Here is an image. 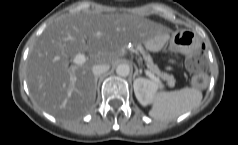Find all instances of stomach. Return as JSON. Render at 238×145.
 I'll return each instance as SVG.
<instances>
[{
  "label": "stomach",
  "instance_id": "0dacf381",
  "mask_svg": "<svg viewBox=\"0 0 238 145\" xmlns=\"http://www.w3.org/2000/svg\"><path fill=\"white\" fill-rule=\"evenodd\" d=\"M197 42H201V38L196 32L179 31L171 37L169 45L175 53L190 55Z\"/></svg>",
  "mask_w": 238,
  "mask_h": 145
}]
</instances>
